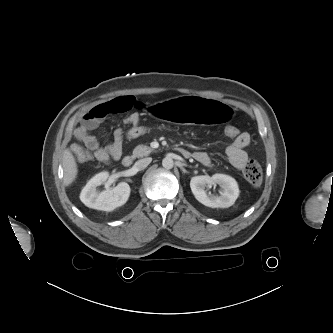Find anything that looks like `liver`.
<instances>
[{
	"label": "liver",
	"mask_w": 333,
	"mask_h": 333,
	"mask_svg": "<svg viewBox=\"0 0 333 333\" xmlns=\"http://www.w3.org/2000/svg\"><path fill=\"white\" fill-rule=\"evenodd\" d=\"M64 184L70 185L77 177L78 168L74 156L70 150L63 153Z\"/></svg>",
	"instance_id": "1"
}]
</instances>
